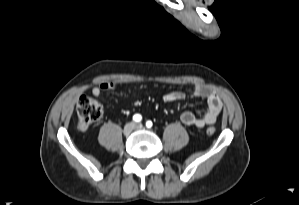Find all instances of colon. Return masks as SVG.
<instances>
[{
  "mask_svg": "<svg viewBox=\"0 0 299 205\" xmlns=\"http://www.w3.org/2000/svg\"><path fill=\"white\" fill-rule=\"evenodd\" d=\"M76 110L78 128L82 131L98 122L102 116L101 104L89 95H84L78 100ZM215 131L213 126L208 127L206 130L208 135H213Z\"/></svg>",
  "mask_w": 299,
  "mask_h": 205,
  "instance_id": "colon-1",
  "label": "colon"
}]
</instances>
